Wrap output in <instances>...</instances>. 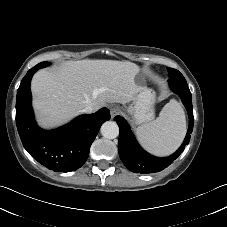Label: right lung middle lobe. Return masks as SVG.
<instances>
[{
	"instance_id": "obj_1",
	"label": "right lung middle lobe",
	"mask_w": 227,
	"mask_h": 227,
	"mask_svg": "<svg viewBox=\"0 0 227 227\" xmlns=\"http://www.w3.org/2000/svg\"><path fill=\"white\" fill-rule=\"evenodd\" d=\"M47 65H49L48 62H41V63L37 64L36 67L43 68V67H46Z\"/></svg>"
}]
</instances>
